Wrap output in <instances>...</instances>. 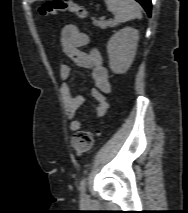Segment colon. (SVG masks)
Returning <instances> with one entry per match:
<instances>
[{"instance_id":"5ec220e1","label":"colon","mask_w":188,"mask_h":213,"mask_svg":"<svg viewBox=\"0 0 188 213\" xmlns=\"http://www.w3.org/2000/svg\"><path fill=\"white\" fill-rule=\"evenodd\" d=\"M39 14L41 16H48L58 14L60 12H72L79 17H86L87 10L72 0H46L39 7ZM94 142V134L90 131H77L72 137L73 150L81 155L87 153Z\"/></svg>"}]
</instances>
